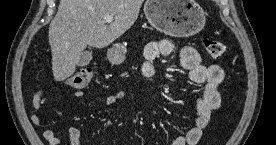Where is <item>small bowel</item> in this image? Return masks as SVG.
Returning <instances> with one entry per match:
<instances>
[{"label":"small bowel","mask_w":276,"mask_h":145,"mask_svg":"<svg viewBox=\"0 0 276 145\" xmlns=\"http://www.w3.org/2000/svg\"><path fill=\"white\" fill-rule=\"evenodd\" d=\"M173 44L169 40L154 41L148 44L145 50V62L142 64L141 71L146 78H151L154 74V61L161 55H169L173 51ZM181 65L189 73L190 79L197 84H203L201 97L197 100V117L194 120L192 128L182 136L177 137L171 145H196L200 140L204 129L209 124L214 111L221 105L219 86L224 79V71L217 64L204 65L201 57L193 47H184L181 50ZM52 89H57L53 87ZM47 88L40 89L35 93L32 99V105L39 110L44 103V97ZM73 95L77 98L83 97L82 91H75ZM125 99L123 92L110 94L105 97L104 104L112 106L115 103ZM33 125L41 124V117L35 113L30 116ZM83 136L82 129L72 127L69 130V145H80ZM43 138L49 145H61V140L56 137L51 129L43 131Z\"/></svg>","instance_id":"small-bowel-1"}]
</instances>
